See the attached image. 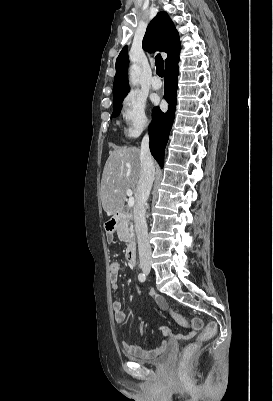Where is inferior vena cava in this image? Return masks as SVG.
<instances>
[{
  "label": "inferior vena cava",
  "mask_w": 273,
  "mask_h": 401,
  "mask_svg": "<svg viewBox=\"0 0 273 401\" xmlns=\"http://www.w3.org/2000/svg\"><path fill=\"white\" fill-rule=\"evenodd\" d=\"M155 174V166L149 148V136L145 134L141 142L140 150V176L136 190V205L134 209V223L138 241L139 259L147 261L151 259V247L148 239V227L146 223V205L152 188Z\"/></svg>",
  "instance_id": "602c4592"
}]
</instances>
